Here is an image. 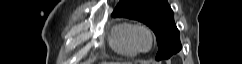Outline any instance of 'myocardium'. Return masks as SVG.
<instances>
[{"instance_id":"1","label":"myocardium","mask_w":242,"mask_h":64,"mask_svg":"<svg viewBox=\"0 0 242 64\" xmlns=\"http://www.w3.org/2000/svg\"><path fill=\"white\" fill-rule=\"evenodd\" d=\"M139 32H144L149 37L150 44H149V47L146 48V49H142L137 44L136 35ZM129 38H130V42H131L132 46L134 47V49L138 53H147V52H149L153 48L154 43H155V36H154V33H153L152 29L149 26H147L146 24H143V23L133 24V26H132V28L130 30Z\"/></svg>"}]
</instances>
